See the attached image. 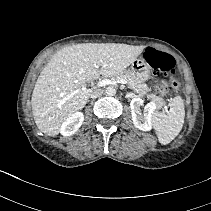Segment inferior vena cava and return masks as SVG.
<instances>
[{
    "label": "inferior vena cava",
    "mask_w": 211,
    "mask_h": 211,
    "mask_svg": "<svg viewBox=\"0 0 211 211\" xmlns=\"http://www.w3.org/2000/svg\"><path fill=\"white\" fill-rule=\"evenodd\" d=\"M104 90L103 89H96L93 90L92 93L90 94L91 98H97L103 94Z\"/></svg>",
    "instance_id": "1"
}]
</instances>
